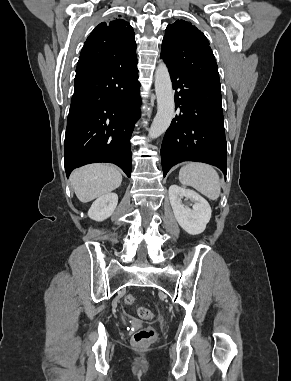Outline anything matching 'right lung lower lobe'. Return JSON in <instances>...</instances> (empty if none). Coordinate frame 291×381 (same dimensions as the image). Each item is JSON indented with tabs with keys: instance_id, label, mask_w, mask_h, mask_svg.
Instances as JSON below:
<instances>
[{
	"instance_id": "98d812e1",
	"label": "right lung lower lobe",
	"mask_w": 291,
	"mask_h": 381,
	"mask_svg": "<svg viewBox=\"0 0 291 381\" xmlns=\"http://www.w3.org/2000/svg\"><path fill=\"white\" fill-rule=\"evenodd\" d=\"M139 88L136 56L112 66H77L64 145L67 177L95 162L116 164L130 177Z\"/></svg>"
}]
</instances>
